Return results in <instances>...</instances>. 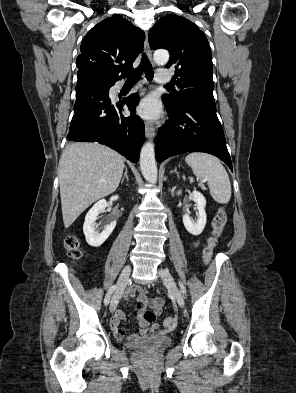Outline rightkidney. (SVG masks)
<instances>
[{"instance_id": "1", "label": "right kidney", "mask_w": 296, "mask_h": 393, "mask_svg": "<svg viewBox=\"0 0 296 393\" xmlns=\"http://www.w3.org/2000/svg\"><path fill=\"white\" fill-rule=\"evenodd\" d=\"M110 200L116 201L118 200V196H113ZM106 207V200H99L86 214L85 222L83 225V232L87 243L92 247H100L111 235L116 226V221L114 220L110 224H108L101 233L95 230V221L98 215L101 212L105 211Z\"/></svg>"}]
</instances>
